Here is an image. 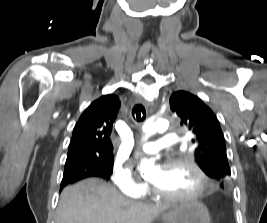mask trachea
I'll return each mask as SVG.
<instances>
[{
	"label": "trachea",
	"mask_w": 267,
	"mask_h": 223,
	"mask_svg": "<svg viewBox=\"0 0 267 223\" xmlns=\"http://www.w3.org/2000/svg\"><path fill=\"white\" fill-rule=\"evenodd\" d=\"M132 116L137 122H142L146 118V109L143 105L137 104L132 109Z\"/></svg>",
	"instance_id": "trachea-1"
}]
</instances>
